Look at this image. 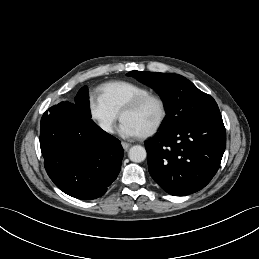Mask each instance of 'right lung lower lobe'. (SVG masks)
Listing matches in <instances>:
<instances>
[{
  "instance_id": "right-lung-lower-lobe-1",
  "label": "right lung lower lobe",
  "mask_w": 259,
  "mask_h": 259,
  "mask_svg": "<svg viewBox=\"0 0 259 259\" xmlns=\"http://www.w3.org/2000/svg\"><path fill=\"white\" fill-rule=\"evenodd\" d=\"M40 147L53 183L78 199L102 196L118 176L124 154L118 139L68 102L42 116Z\"/></svg>"
}]
</instances>
